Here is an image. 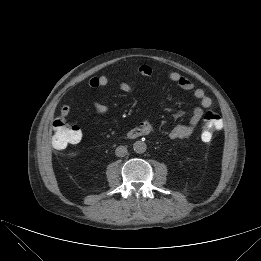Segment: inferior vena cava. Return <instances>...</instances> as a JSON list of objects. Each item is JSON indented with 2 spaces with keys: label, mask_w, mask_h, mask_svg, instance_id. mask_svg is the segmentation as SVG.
Segmentation results:
<instances>
[{
  "label": "inferior vena cava",
  "mask_w": 261,
  "mask_h": 261,
  "mask_svg": "<svg viewBox=\"0 0 261 261\" xmlns=\"http://www.w3.org/2000/svg\"><path fill=\"white\" fill-rule=\"evenodd\" d=\"M128 153V150L125 146H118L115 150V154L118 157H124Z\"/></svg>",
  "instance_id": "602c4592"
}]
</instances>
